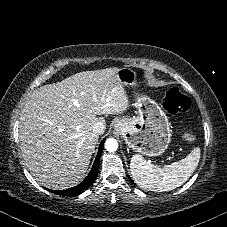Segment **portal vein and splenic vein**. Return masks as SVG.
Returning a JSON list of instances; mask_svg holds the SVG:
<instances>
[{
	"label": "portal vein and splenic vein",
	"instance_id": "18ae733b",
	"mask_svg": "<svg viewBox=\"0 0 227 227\" xmlns=\"http://www.w3.org/2000/svg\"><path fill=\"white\" fill-rule=\"evenodd\" d=\"M73 104H74L75 106H78L77 100L73 99Z\"/></svg>",
	"mask_w": 227,
	"mask_h": 227
}]
</instances>
